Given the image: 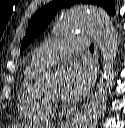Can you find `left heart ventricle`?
Listing matches in <instances>:
<instances>
[{
  "instance_id": "obj_1",
  "label": "left heart ventricle",
  "mask_w": 125,
  "mask_h": 128,
  "mask_svg": "<svg viewBox=\"0 0 125 128\" xmlns=\"http://www.w3.org/2000/svg\"><path fill=\"white\" fill-rule=\"evenodd\" d=\"M49 95H54L56 93V89L53 88L47 92Z\"/></svg>"
}]
</instances>
